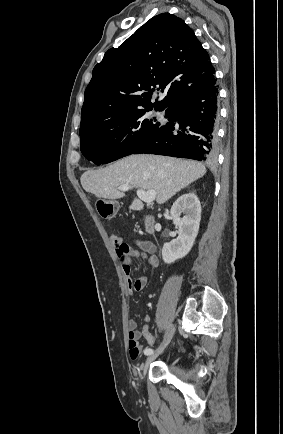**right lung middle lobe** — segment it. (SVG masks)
Returning a JSON list of instances; mask_svg holds the SVG:
<instances>
[{"instance_id":"1","label":"right lung middle lobe","mask_w":283,"mask_h":434,"mask_svg":"<svg viewBox=\"0 0 283 434\" xmlns=\"http://www.w3.org/2000/svg\"><path fill=\"white\" fill-rule=\"evenodd\" d=\"M152 109L124 112L80 130L81 152L97 165L132 154L162 125L148 113Z\"/></svg>"}]
</instances>
